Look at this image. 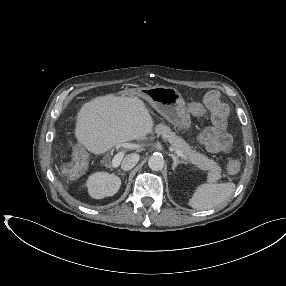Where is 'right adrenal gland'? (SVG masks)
<instances>
[{"label":"right adrenal gland","instance_id":"2a0ac1e0","mask_svg":"<svg viewBox=\"0 0 286 286\" xmlns=\"http://www.w3.org/2000/svg\"><path fill=\"white\" fill-rule=\"evenodd\" d=\"M119 174H120V175H122V176H125V175H126V173H124V172H123V173H121V171H120V170H119Z\"/></svg>","mask_w":286,"mask_h":286}]
</instances>
